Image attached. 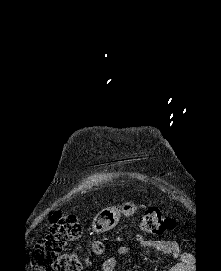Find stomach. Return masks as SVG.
Masks as SVG:
<instances>
[{
    "mask_svg": "<svg viewBox=\"0 0 221 271\" xmlns=\"http://www.w3.org/2000/svg\"><path fill=\"white\" fill-rule=\"evenodd\" d=\"M134 209L132 207H128V209H118V207H105V209H101L97 215H95L92 223V227L96 233H100V231H107V229H111L114 225H117L121 213L124 215H131Z\"/></svg>",
    "mask_w": 221,
    "mask_h": 271,
    "instance_id": "1",
    "label": "stomach"
}]
</instances>
